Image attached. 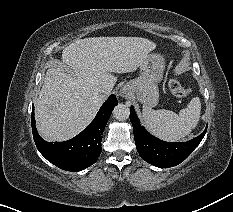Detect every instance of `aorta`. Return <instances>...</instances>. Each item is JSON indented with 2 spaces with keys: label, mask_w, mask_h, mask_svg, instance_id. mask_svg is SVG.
<instances>
[{
  "label": "aorta",
  "mask_w": 233,
  "mask_h": 212,
  "mask_svg": "<svg viewBox=\"0 0 233 212\" xmlns=\"http://www.w3.org/2000/svg\"><path fill=\"white\" fill-rule=\"evenodd\" d=\"M113 115L117 120H126L130 115V109L125 104H118L113 110Z\"/></svg>",
  "instance_id": "obj_1"
}]
</instances>
